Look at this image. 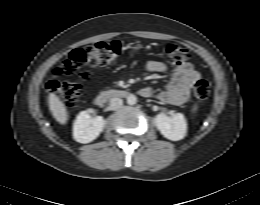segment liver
I'll return each instance as SVG.
<instances>
[{
    "mask_svg": "<svg viewBox=\"0 0 260 205\" xmlns=\"http://www.w3.org/2000/svg\"><path fill=\"white\" fill-rule=\"evenodd\" d=\"M48 104L55 120L62 125L66 124L68 121V112L63 101H61L56 94L50 93L48 96Z\"/></svg>",
    "mask_w": 260,
    "mask_h": 205,
    "instance_id": "liver-1",
    "label": "liver"
}]
</instances>
